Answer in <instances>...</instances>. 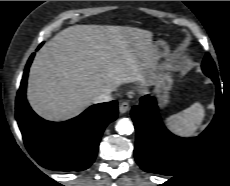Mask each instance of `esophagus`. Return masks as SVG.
<instances>
[{"mask_svg":"<svg viewBox=\"0 0 230 186\" xmlns=\"http://www.w3.org/2000/svg\"><path fill=\"white\" fill-rule=\"evenodd\" d=\"M130 106L127 101H122L119 105V111L121 114L126 113L129 110Z\"/></svg>","mask_w":230,"mask_h":186,"instance_id":"1","label":"esophagus"}]
</instances>
